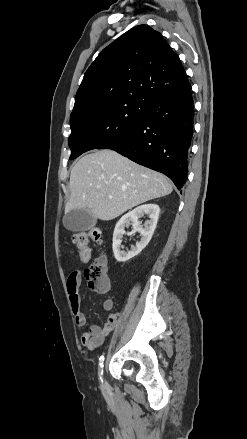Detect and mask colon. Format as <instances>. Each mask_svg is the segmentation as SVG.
Wrapping results in <instances>:
<instances>
[{
	"mask_svg": "<svg viewBox=\"0 0 247 439\" xmlns=\"http://www.w3.org/2000/svg\"><path fill=\"white\" fill-rule=\"evenodd\" d=\"M73 243L79 250V259L88 263L91 258L89 244L101 246L102 235L98 228H89L73 236ZM89 288L96 293H104L110 288L107 260L103 254L98 255L91 265L84 271Z\"/></svg>",
	"mask_w": 247,
	"mask_h": 439,
	"instance_id": "1",
	"label": "colon"
}]
</instances>
